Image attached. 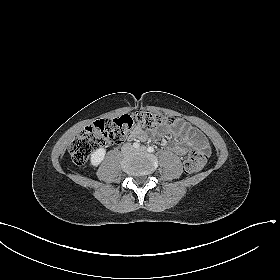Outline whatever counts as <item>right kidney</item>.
I'll return each instance as SVG.
<instances>
[{
  "mask_svg": "<svg viewBox=\"0 0 280 280\" xmlns=\"http://www.w3.org/2000/svg\"><path fill=\"white\" fill-rule=\"evenodd\" d=\"M106 150L104 148H99L91 154L90 164L97 167L104 159Z\"/></svg>",
  "mask_w": 280,
  "mask_h": 280,
  "instance_id": "ca27d5eb",
  "label": "right kidney"
}]
</instances>
